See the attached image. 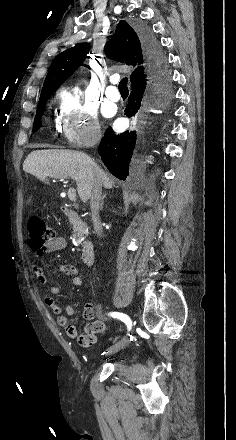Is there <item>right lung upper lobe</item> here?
Masks as SVG:
<instances>
[{
  "instance_id": "right-lung-upper-lobe-1",
  "label": "right lung upper lobe",
  "mask_w": 236,
  "mask_h": 440,
  "mask_svg": "<svg viewBox=\"0 0 236 440\" xmlns=\"http://www.w3.org/2000/svg\"><path fill=\"white\" fill-rule=\"evenodd\" d=\"M89 45L80 43L55 57L45 79L40 99L55 91L75 70L82 65ZM106 56L130 66H137L130 75L131 87L145 82L149 77L147 62L143 51L139 32L134 30L126 21H120L115 34L105 44Z\"/></svg>"
}]
</instances>
